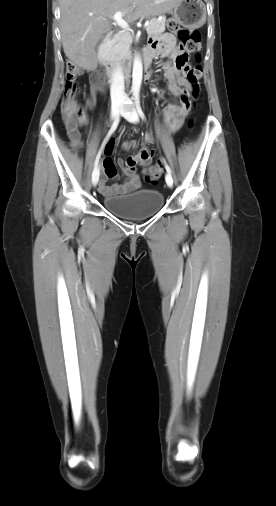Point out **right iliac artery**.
<instances>
[{
	"label": "right iliac artery",
	"mask_w": 276,
	"mask_h": 506,
	"mask_svg": "<svg viewBox=\"0 0 276 506\" xmlns=\"http://www.w3.org/2000/svg\"><path fill=\"white\" fill-rule=\"evenodd\" d=\"M119 121H120V117H117V118L115 119V121L113 122V124H112V126H111V128H110V130H109V132H108V134H107V136H106V138L104 139V141H103V143H102V146H101V148H100V150H99V152H98V154H97V156H96V160H95V163H94L95 167H94V171H93V173H92V176H97V179H99V172L96 174V173H95V171H96V169H97V166H98V163H99V159H100V157H101V153H102L103 148L105 147V145H106V143H107V141H108L109 137H110V136H111V134H112V133L116 130V128H117V126H118V124H119Z\"/></svg>",
	"instance_id": "right-iliac-artery-1"
}]
</instances>
